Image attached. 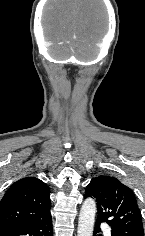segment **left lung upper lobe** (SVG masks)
<instances>
[{
	"label": "left lung upper lobe",
	"mask_w": 145,
	"mask_h": 236,
	"mask_svg": "<svg viewBox=\"0 0 145 236\" xmlns=\"http://www.w3.org/2000/svg\"><path fill=\"white\" fill-rule=\"evenodd\" d=\"M97 202V221L111 227V236H143V224L137 200L132 190L109 175L92 178L87 185L85 198Z\"/></svg>",
	"instance_id": "left-lung-upper-lobe-1"
}]
</instances>
